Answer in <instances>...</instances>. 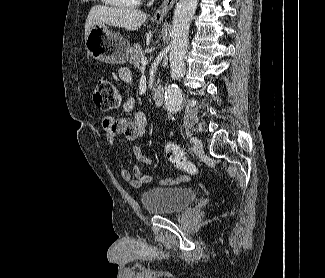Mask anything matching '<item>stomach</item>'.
<instances>
[{
	"label": "stomach",
	"mask_w": 325,
	"mask_h": 278,
	"mask_svg": "<svg viewBox=\"0 0 325 278\" xmlns=\"http://www.w3.org/2000/svg\"><path fill=\"white\" fill-rule=\"evenodd\" d=\"M85 47L89 55L98 61L122 64L128 60L130 43L110 31L105 24H100L90 29Z\"/></svg>",
	"instance_id": "stomach-1"
}]
</instances>
